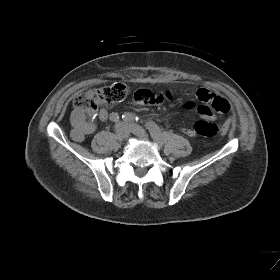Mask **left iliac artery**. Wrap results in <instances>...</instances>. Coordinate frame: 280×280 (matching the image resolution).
Here are the masks:
<instances>
[{
    "label": "left iliac artery",
    "instance_id": "obj_1",
    "mask_svg": "<svg viewBox=\"0 0 280 280\" xmlns=\"http://www.w3.org/2000/svg\"><path fill=\"white\" fill-rule=\"evenodd\" d=\"M122 119L125 122H131V121H139V117L135 116L132 113H124L122 115ZM145 126L148 129V131L150 132L151 136L156 139V140H161L162 139V132L161 129L159 128V126L153 122V121H147L145 122Z\"/></svg>",
    "mask_w": 280,
    "mask_h": 280
}]
</instances>
